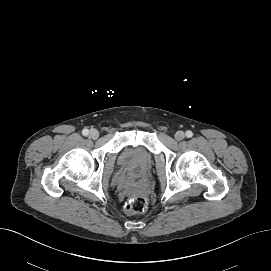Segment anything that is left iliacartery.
<instances>
[{"label": "left iliac artery", "mask_w": 271, "mask_h": 271, "mask_svg": "<svg viewBox=\"0 0 271 271\" xmlns=\"http://www.w3.org/2000/svg\"><path fill=\"white\" fill-rule=\"evenodd\" d=\"M186 136H187L188 138H191V137L193 136V132L190 131V130H188V131L186 132Z\"/></svg>", "instance_id": "obj_1"}]
</instances>
